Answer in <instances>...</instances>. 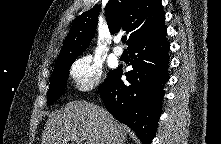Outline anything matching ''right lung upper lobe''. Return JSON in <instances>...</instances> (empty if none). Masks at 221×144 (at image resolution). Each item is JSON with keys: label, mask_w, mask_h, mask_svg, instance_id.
Returning <instances> with one entry per match:
<instances>
[{"label": "right lung upper lobe", "mask_w": 221, "mask_h": 144, "mask_svg": "<svg viewBox=\"0 0 221 144\" xmlns=\"http://www.w3.org/2000/svg\"><path fill=\"white\" fill-rule=\"evenodd\" d=\"M99 6L79 15L66 36L55 66L74 62L92 40L98 21ZM109 30H125L128 46L137 38L164 23L161 0H109L105 7Z\"/></svg>", "instance_id": "obj_1"}]
</instances>
